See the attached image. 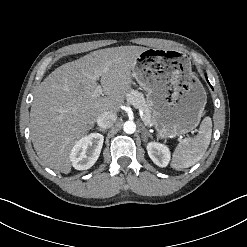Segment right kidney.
Returning a JSON list of instances; mask_svg holds the SVG:
<instances>
[{
    "instance_id": "1",
    "label": "right kidney",
    "mask_w": 247,
    "mask_h": 247,
    "mask_svg": "<svg viewBox=\"0 0 247 247\" xmlns=\"http://www.w3.org/2000/svg\"><path fill=\"white\" fill-rule=\"evenodd\" d=\"M104 136L99 133H91L78 140L71 149L70 160L77 170H86L92 167L97 161Z\"/></svg>"
}]
</instances>
